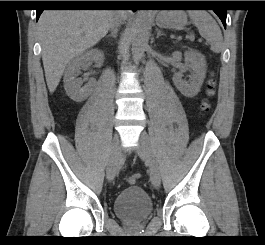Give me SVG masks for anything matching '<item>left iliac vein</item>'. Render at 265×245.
Wrapping results in <instances>:
<instances>
[{"mask_svg":"<svg viewBox=\"0 0 265 245\" xmlns=\"http://www.w3.org/2000/svg\"><path fill=\"white\" fill-rule=\"evenodd\" d=\"M137 153L139 157L145 160L150 169V179L155 188H159L161 183V176L159 166L155 154L153 152L150 139L145 132L139 135V144L137 146Z\"/></svg>","mask_w":265,"mask_h":245,"instance_id":"left-iliac-vein-1","label":"left iliac vein"}]
</instances>
